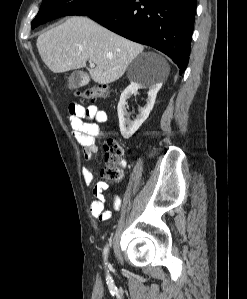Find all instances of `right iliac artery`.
Masks as SVG:
<instances>
[{"mask_svg":"<svg viewBox=\"0 0 247 299\" xmlns=\"http://www.w3.org/2000/svg\"><path fill=\"white\" fill-rule=\"evenodd\" d=\"M109 251V245L104 248V259L106 260Z\"/></svg>","mask_w":247,"mask_h":299,"instance_id":"obj_1","label":"right iliac artery"}]
</instances>
